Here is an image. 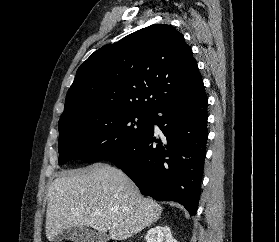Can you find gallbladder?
I'll use <instances>...</instances> for the list:
<instances>
[{
    "label": "gallbladder",
    "mask_w": 279,
    "mask_h": 242,
    "mask_svg": "<svg viewBox=\"0 0 279 242\" xmlns=\"http://www.w3.org/2000/svg\"><path fill=\"white\" fill-rule=\"evenodd\" d=\"M63 239L71 242H105L108 237L85 227H72L58 234L55 242H61Z\"/></svg>",
    "instance_id": "1"
}]
</instances>
